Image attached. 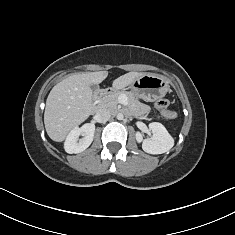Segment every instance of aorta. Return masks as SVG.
I'll use <instances>...</instances> for the list:
<instances>
[{
    "instance_id": "obj_1",
    "label": "aorta",
    "mask_w": 235,
    "mask_h": 235,
    "mask_svg": "<svg viewBox=\"0 0 235 235\" xmlns=\"http://www.w3.org/2000/svg\"><path fill=\"white\" fill-rule=\"evenodd\" d=\"M123 118H124V115L122 113L117 114V119L118 120H123Z\"/></svg>"
}]
</instances>
